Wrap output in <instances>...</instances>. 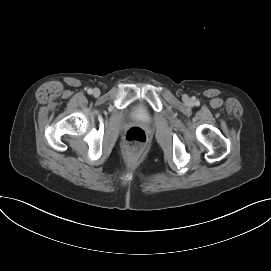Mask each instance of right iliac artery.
<instances>
[{"mask_svg": "<svg viewBox=\"0 0 271 271\" xmlns=\"http://www.w3.org/2000/svg\"><path fill=\"white\" fill-rule=\"evenodd\" d=\"M87 92H88L89 94H92L93 90H92L91 88H89V89L87 90Z\"/></svg>", "mask_w": 271, "mask_h": 271, "instance_id": "82829eb1", "label": "right iliac artery"}]
</instances>
